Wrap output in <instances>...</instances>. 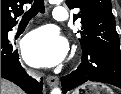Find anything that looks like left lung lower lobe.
Listing matches in <instances>:
<instances>
[{"label":"left lung lower lobe","instance_id":"0a47b994","mask_svg":"<svg viewBox=\"0 0 121 94\" xmlns=\"http://www.w3.org/2000/svg\"><path fill=\"white\" fill-rule=\"evenodd\" d=\"M82 62L71 74L62 77V91L97 81L121 88V50L109 47L82 49Z\"/></svg>","mask_w":121,"mask_h":94}]
</instances>
